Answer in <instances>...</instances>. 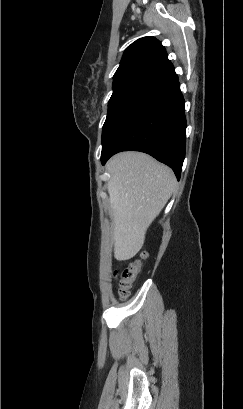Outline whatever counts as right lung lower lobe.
Here are the masks:
<instances>
[{
    "label": "right lung lower lobe",
    "mask_w": 243,
    "mask_h": 409,
    "mask_svg": "<svg viewBox=\"0 0 243 409\" xmlns=\"http://www.w3.org/2000/svg\"><path fill=\"white\" fill-rule=\"evenodd\" d=\"M184 103L173 71L123 121L102 150V164L115 153L141 151L171 167L179 180L186 146Z\"/></svg>",
    "instance_id": "98d812e1"
}]
</instances>
